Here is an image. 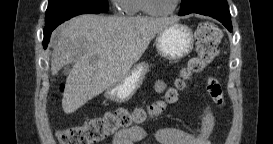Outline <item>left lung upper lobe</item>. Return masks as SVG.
<instances>
[{
    "label": "left lung upper lobe",
    "instance_id": "1",
    "mask_svg": "<svg viewBox=\"0 0 273 144\" xmlns=\"http://www.w3.org/2000/svg\"><path fill=\"white\" fill-rule=\"evenodd\" d=\"M199 2V0H182L180 13H185L190 11L196 7L195 2Z\"/></svg>",
    "mask_w": 273,
    "mask_h": 144
}]
</instances>
